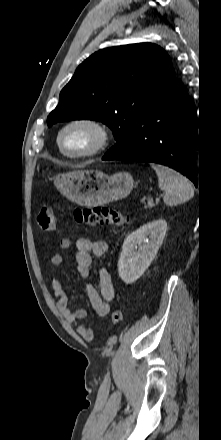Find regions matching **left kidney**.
Returning <instances> with one entry per match:
<instances>
[{
    "label": "left kidney",
    "instance_id": "1",
    "mask_svg": "<svg viewBox=\"0 0 221 440\" xmlns=\"http://www.w3.org/2000/svg\"><path fill=\"white\" fill-rule=\"evenodd\" d=\"M166 230V221L158 219L126 237L118 261V273L124 283L131 284L143 275L162 245Z\"/></svg>",
    "mask_w": 221,
    "mask_h": 440
}]
</instances>
